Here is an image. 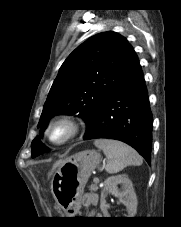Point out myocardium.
Segmentation results:
<instances>
[{
	"instance_id": "obj_1",
	"label": "myocardium",
	"mask_w": 181,
	"mask_h": 227,
	"mask_svg": "<svg viewBox=\"0 0 181 227\" xmlns=\"http://www.w3.org/2000/svg\"><path fill=\"white\" fill-rule=\"evenodd\" d=\"M56 128H63L65 130V135L59 140H54L52 138V131ZM81 129L82 124L77 118L71 115H61L53 119L47 125L44 131V136L50 144L54 146H61L76 138Z\"/></svg>"
}]
</instances>
